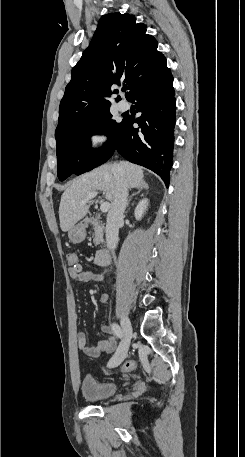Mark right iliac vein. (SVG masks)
Listing matches in <instances>:
<instances>
[{
  "label": "right iliac vein",
  "mask_w": 245,
  "mask_h": 457,
  "mask_svg": "<svg viewBox=\"0 0 245 457\" xmlns=\"http://www.w3.org/2000/svg\"><path fill=\"white\" fill-rule=\"evenodd\" d=\"M121 324L124 331V335L118 349L108 362L109 367H115L122 363V361L125 359L127 355L128 348L130 345V340L133 332L131 322L126 316H123Z\"/></svg>",
  "instance_id": "right-iliac-vein-1"
}]
</instances>
